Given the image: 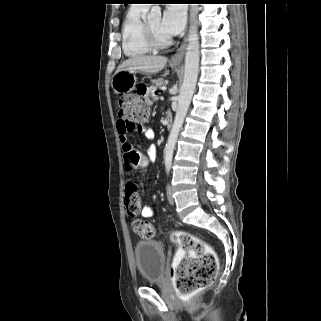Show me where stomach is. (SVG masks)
Here are the masks:
<instances>
[{"mask_svg": "<svg viewBox=\"0 0 321 321\" xmlns=\"http://www.w3.org/2000/svg\"><path fill=\"white\" fill-rule=\"evenodd\" d=\"M177 65V64H174ZM137 82L136 71L123 70L115 73L112 79V87L117 94H126L132 91Z\"/></svg>", "mask_w": 321, "mask_h": 321, "instance_id": "obj_1", "label": "stomach"}]
</instances>
